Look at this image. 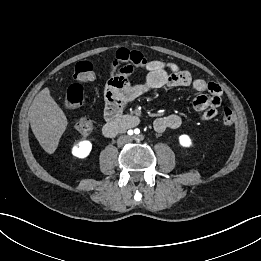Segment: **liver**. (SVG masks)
Listing matches in <instances>:
<instances>
[{"label": "liver", "instance_id": "liver-1", "mask_svg": "<svg viewBox=\"0 0 261 261\" xmlns=\"http://www.w3.org/2000/svg\"><path fill=\"white\" fill-rule=\"evenodd\" d=\"M29 115L31 129L39 144L47 153H54L68 122L62 109L51 97L49 88L42 89L36 95Z\"/></svg>", "mask_w": 261, "mask_h": 261}]
</instances>
